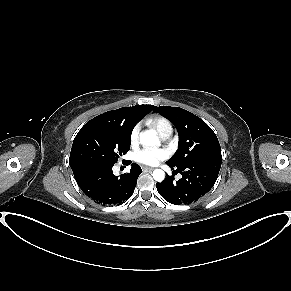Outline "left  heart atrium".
<instances>
[{"label":"left heart atrium","instance_id":"39dd6f15","mask_svg":"<svg viewBox=\"0 0 291 291\" xmlns=\"http://www.w3.org/2000/svg\"><path fill=\"white\" fill-rule=\"evenodd\" d=\"M167 156V152L163 149L143 148L136 152L135 158L138 162L155 165Z\"/></svg>","mask_w":291,"mask_h":291}]
</instances>
